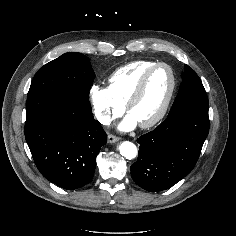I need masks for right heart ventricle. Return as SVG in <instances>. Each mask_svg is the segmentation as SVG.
Listing matches in <instances>:
<instances>
[{
  "instance_id": "e07e8e85",
  "label": "right heart ventricle",
  "mask_w": 236,
  "mask_h": 236,
  "mask_svg": "<svg viewBox=\"0 0 236 236\" xmlns=\"http://www.w3.org/2000/svg\"><path fill=\"white\" fill-rule=\"evenodd\" d=\"M156 64L154 61H134L118 68L109 77V90L122 105H125L144 72Z\"/></svg>"
}]
</instances>
